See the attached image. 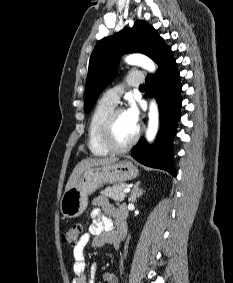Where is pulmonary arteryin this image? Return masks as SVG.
<instances>
[{"label":"pulmonary artery","instance_id":"1","mask_svg":"<svg viewBox=\"0 0 233 283\" xmlns=\"http://www.w3.org/2000/svg\"><path fill=\"white\" fill-rule=\"evenodd\" d=\"M143 75L139 72H132L127 76V84L129 86L138 87L143 83ZM123 92L122 86H117L112 89L107 90L103 96L102 99L104 102L116 105L119 102L120 95Z\"/></svg>","mask_w":233,"mask_h":283}]
</instances>
